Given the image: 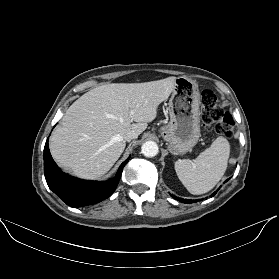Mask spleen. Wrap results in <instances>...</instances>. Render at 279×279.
Masks as SVG:
<instances>
[{
    "label": "spleen",
    "instance_id": "spleen-1",
    "mask_svg": "<svg viewBox=\"0 0 279 279\" xmlns=\"http://www.w3.org/2000/svg\"><path fill=\"white\" fill-rule=\"evenodd\" d=\"M230 155L228 140L219 136L194 160L179 159L175 171L186 189L194 195L209 192L221 180Z\"/></svg>",
    "mask_w": 279,
    "mask_h": 279
}]
</instances>
